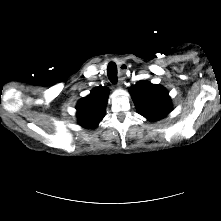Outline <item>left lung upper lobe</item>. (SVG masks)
<instances>
[{"label":"left lung upper lobe","mask_w":221,"mask_h":221,"mask_svg":"<svg viewBox=\"0 0 221 221\" xmlns=\"http://www.w3.org/2000/svg\"><path fill=\"white\" fill-rule=\"evenodd\" d=\"M139 114L150 121H157L171 111V99L161 85L139 81L129 88Z\"/></svg>","instance_id":"1"}]
</instances>
